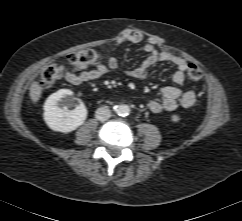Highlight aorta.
<instances>
[{"label": "aorta", "mask_w": 242, "mask_h": 221, "mask_svg": "<svg viewBox=\"0 0 242 221\" xmlns=\"http://www.w3.org/2000/svg\"><path fill=\"white\" fill-rule=\"evenodd\" d=\"M115 112L119 116H127L130 113V107L128 105H125V104L118 105L115 108Z\"/></svg>", "instance_id": "aorta-1"}]
</instances>
